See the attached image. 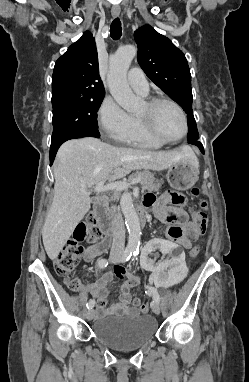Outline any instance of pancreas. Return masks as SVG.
<instances>
[{
	"label": "pancreas",
	"mask_w": 249,
	"mask_h": 382,
	"mask_svg": "<svg viewBox=\"0 0 249 382\" xmlns=\"http://www.w3.org/2000/svg\"><path fill=\"white\" fill-rule=\"evenodd\" d=\"M135 178H141L140 184L145 190H158L160 188V184L154 178V175L149 171H140L129 176L128 181H132ZM121 192L115 191L112 197V200H117L120 196Z\"/></svg>",
	"instance_id": "cf45deb5"
}]
</instances>
